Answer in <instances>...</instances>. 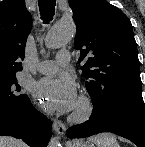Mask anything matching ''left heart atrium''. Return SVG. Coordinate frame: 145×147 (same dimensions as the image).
I'll return each instance as SVG.
<instances>
[{
	"label": "left heart atrium",
	"instance_id": "1",
	"mask_svg": "<svg viewBox=\"0 0 145 147\" xmlns=\"http://www.w3.org/2000/svg\"><path fill=\"white\" fill-rule=\"evenodd\" d=\"M35 95L42 99L48 109L66 113L77 105V87L72 76L41 79L35 86Z\"/></svg>",
	"mask_w": 145,
	"mask_h": 147
}]
</instances>
